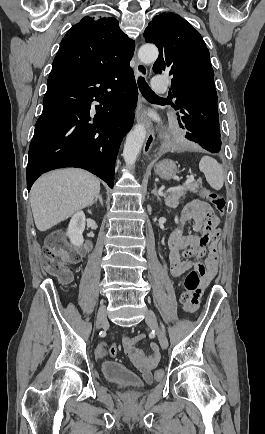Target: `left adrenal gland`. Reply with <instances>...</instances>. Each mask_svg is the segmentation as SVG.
<instances>
[{"label":"left adrenal gland","instance_id":"a2214340","mask_svg":"<svg viewBox=\"0 0 265 434\" xmlns=\"http://www.w3.org/2000/svg\"><path fill=\"white\" fill-rule=\"evenodd\" d=\"M151 194H154V196H157V200H159V202H161V198L157 192V184H154V190H152Z\"/></svg>","mask_w":265,"mask_h":434}]
</instances>
